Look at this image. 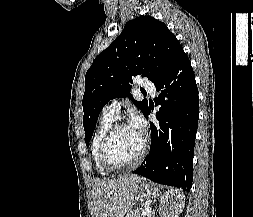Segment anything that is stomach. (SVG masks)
I'll list each match as a JSON object with an SVG mask.
<instances>
[{"instance_id":"obj_1","label":"stomach","mask_w":253,"mask_h":217,"mask_svg":"<svg viewBox=\"0 0 253 217\" xmlns=\"http://www.w3.org/2000/svg\"><path fill=\"white\" fill-rule=\"evenodd\" d=\"M159 196V187L151 182H140L134 190V199L144 201L147 199H155ZM129 212H126L122 217H127Z\"/></svg>"}]
</instances>
